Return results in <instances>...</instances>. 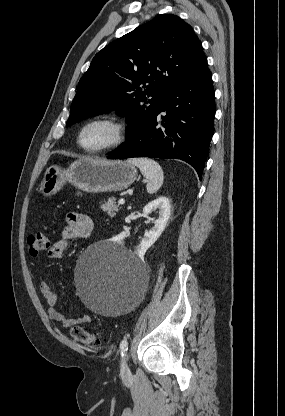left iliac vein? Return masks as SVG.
Here are the masks:
<instances>
[{
  "instance_id": "obj_1",
  "label": "left iliac vein",
  "mask_w": 285,
  "mask_h": 416,
  "mask_svg": "<svg viewBox=\"0 0 285 416\" xmlns=\"http://www.w3.org/2000/svg\"><path fill=\"white\" fill-rule=\"evenodd\" d=\"M120 373H121L122 377H127L130 374V369H129V366H128V355L127 354H125L121 358Z\"/></svg>"
}]
</instances>
